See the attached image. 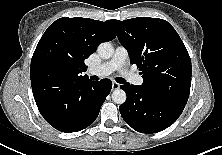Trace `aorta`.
I'll return each instance as SVG.
<instances>
[{"instance_id":"obj_1","label":"aorta","mask_w":222,"mask_h":155,"mask_svg":"<svg viewBox=\"0 0 222 155\" xmlns=\"http://www.w3.org/2000/svg\"><path fill=\"white\" fill-rule=\"evenodd\" d=\"M97 51L103 59H109L114 54V48L110 42L99 44ZM126 97V93L122 89H116L112 92V100L117 104H123L126 101Z\"/></svg>"}]
</instances>
